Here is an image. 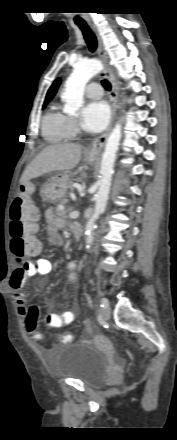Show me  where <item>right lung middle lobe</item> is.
Wrapping results in <instances>:
<instances>
[{
  "label": "right lung middle lobe",
  "instance_id": "1",
  "mask_svg": "<svg viewBox=\"0 0 177 440\" xmlns=\"http://www.w3.org/2000/svg\"><path fill=\"white\" fill-rule=\"evenodd\" d=\"M47 104V102H44L43 108H45V105Z\"/></svg>",
  "mask_w": 177,
  "mask_h": 440
}]
</instances>
